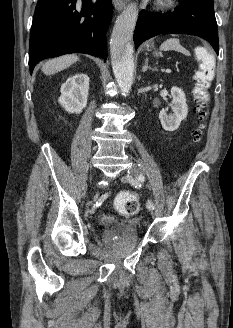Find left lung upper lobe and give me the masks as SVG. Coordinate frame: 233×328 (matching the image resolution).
<instances>
[{
    "label": "left lung upper lobe",
    "instance_id": "obj_1",
    "mask_svg": "<svg viewBox=\"0 0 233 328\" xmlns=\"http://www.w3.org/2000/svg\"><path fill=\"white\" fill-rule=\"evenodd\" d=\"M205 1H207L210 4H213V0H205Z\"/></svg>",
    "mask_w": 233,
    "mask_h": 328
}]
</instances>
